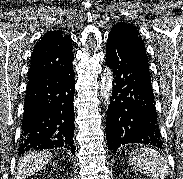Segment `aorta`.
I'll return each mask as SVG.
<instances>
[{
    "mask_svg": "<svg viewBox=\"0 0 183 179\" xmlns=\"http://www.w3.org/2000/svg\"><path fill=\"white\" fill-rule=\"evenodd\" d=\"M113 89V73L110 69L104 70L101 75L100 96L106 107L110 104Z\"/></svg>",
    "mask_w": 183,
    "mask_h": 179,
    "instance_id": "1",
    "label": "aorta"
}]
</instances>
